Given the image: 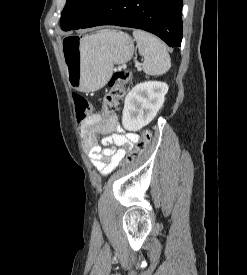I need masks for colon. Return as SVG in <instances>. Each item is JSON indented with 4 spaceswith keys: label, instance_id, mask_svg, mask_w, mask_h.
<instances>
[{
    "label": "colon",
    "instance_id": "1",
    "mask_svg": "<svg viewBox=\"0 0 247 275\" xmlns=\"http://www.w3.org/2000/svg\"><path fill=\"white\" fill-rule=\"evenodd\" d=\"M131 80V73L125 69H118L113 72L109 81V91L104 97L103 109L106 115H110L118 106L119 101L125 93V85ZM76 118L79 123L84 122L93 112V105L84 96L80 94L73 95ZM151 140V133L148 130H143L140 133L138 142L134 149L128 153L121 165L133 163L147 149Z\"/></svg>",
    "mask_w": 247,
    "mask_h": 275
}]
</instances>
